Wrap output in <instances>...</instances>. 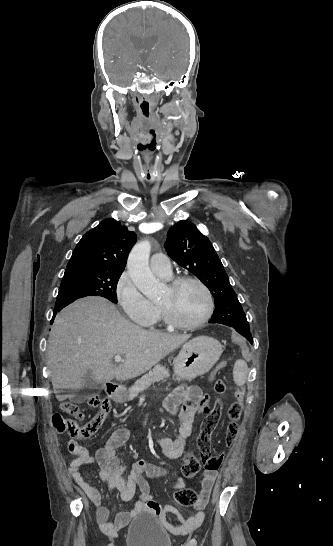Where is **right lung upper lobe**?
I'll return each mask as SVG.
<instances>
[{
  "instance_id": "obj_1",
  "label": "right lung upper lobe",
  "mask_w": 333,
  "mask_h": 546,
  "mask_svg": "<svg viewBox=\"0 0 333 546\" xmlns=\"http://www.w3.org/2000/svg\"><path fill=\"white\" fill-rule=\"evenodd\" d=\"M136 239V234L121 226L119 221L105 219L79 241L65 274L124 270L128 253Z\"/></svg>"
}]
</instances>
